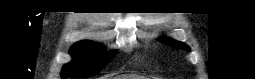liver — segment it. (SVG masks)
<instances>
[{
    "label": "liver",
    "instance_id": "obj_1",
    "mask_svg": "<svg viewBox=\"0 0 255 79\" xmlns=\"http://www.w3.org/2000/svg\"><path fill=\"white\" fill-rule=\"evenodd\" d=\"M118 79H143L140 76L131 75V76H120Z\"/></svg>",
    "mask_w": 255,
    "mask_h": 79
}]
</instances>
